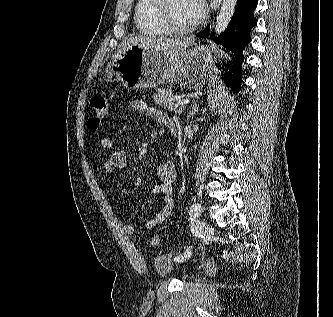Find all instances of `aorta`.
Listing matches in <instances>:
<instances>
[{"mask_svg":"<svg viewBox=\"0 0 333 317\" xmlns=\"http://www.w3.org/2000/svg\"><path fill=\"white\" fill-rule=\"evenodd\" d=\"M237 5V0H223L216 18L215 32L222 33L230 22Z\"/></svg>","mask_w":333,"mask_h":317,"instance_id":"aorta-1","label":"aorta"}]
</instances>
